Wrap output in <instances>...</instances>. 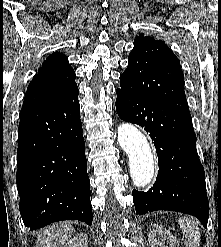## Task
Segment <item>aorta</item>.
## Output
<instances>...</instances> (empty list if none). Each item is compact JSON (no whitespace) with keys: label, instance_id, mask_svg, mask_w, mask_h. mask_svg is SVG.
Wrapping results in <instances>:
<instances>
[{"label":"aorta","instance_id":"obj_1","mask_svg":"<svg viewBox=\"0 0 221 247\" xmlns=\"http://www.w3.org/2000/svg\"><path fill=\"white\" fill-rule=\"evenodd\" d=\"M118 142L129 157L134 186L145 187L154 175L153 154L146 135L134 125L123 123L118 127Z\"/></svg>","mask_w":221,"mask_h":247}]
</instances>
